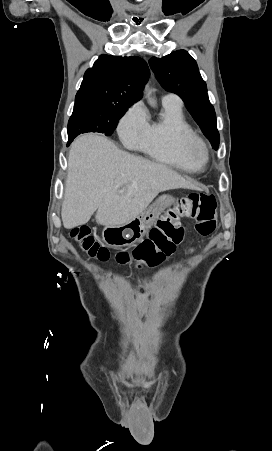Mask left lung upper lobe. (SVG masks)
<instances>
[{"label":"left lung upper lobe","mask_w":272,"mask_h":451,"mask_svg":"<svg viewBox=\"0 0 272 451\" xmlns=\"http://www.w3.org/2000/svg\"><path fill=\"white\" fill-rule=\"evenodd\" d=\"M149 64L162 87L182 98L212 147L218 149L216 114L196 61L187 51L178 50L162 58L152 57Z\"/></svg>","instance_id":"left-lung-upper-lobe-1"}]
</instances>
